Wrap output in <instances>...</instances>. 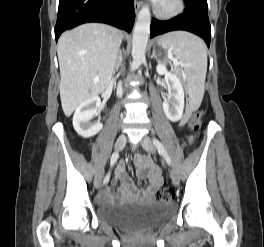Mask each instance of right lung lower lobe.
I'll use <instances>...</instances> for the list:
<instances>
[{"mask_svg": "<svg viewBox=\"0 0 264 247\" xmlns=\"http://www.w3.org/2000/svg\"><path fill=\"white\" fill-rule=\"evenodd\" d=\"M134 20L133 0H59L55 39L65 30L88 22L106 23L131 32Z\"/></svg>", "mask_w": 264, "mask_h": 247, "instance_id": "obj_1", "label": "right lung lower lobe"}]
</instances>
